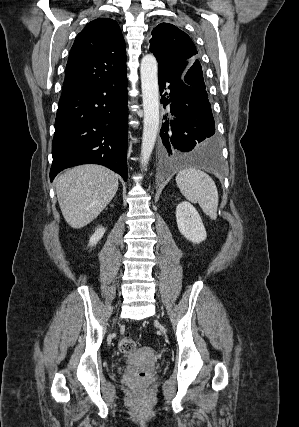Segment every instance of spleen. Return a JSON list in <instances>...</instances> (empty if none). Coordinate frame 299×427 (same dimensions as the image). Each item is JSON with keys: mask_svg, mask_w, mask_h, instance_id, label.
I'll return each mask as SVG.
<instances>
[{"mask_svg": "<svg viewBox=\"0 0 299 427\" xmlns=\"http://www.w3.org/2000/svg\"><path fill=\"white\" fill-rule=\"evenodd\" d=\"M176 184L187 200L198 202L206 215L217 218L218 190L208 174L195 168L183 169L176 176Z\"/></svg>", "mask_w": 299, "mask_h": 427, "instance_id": "obj_1", "label": "spleen"}]
</instances>
